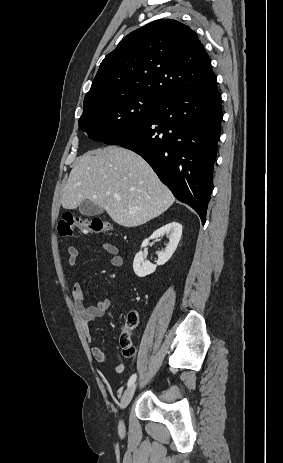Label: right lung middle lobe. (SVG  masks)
Instances as JSON below:
<instances>
[{
    "mask_svg": "<svg viewBox=\"0 0 283 463\" xmlns=\"http://www.w3.org/2000/svg\"><path fill=\"white\" fill-rule=\"evenodd\" d=\"M158 101L135 95H109L83 104L79 127L90 138L107 141L149 118Z\"/></svg>",
    "mask_w": 283,
    "mask_h": 463,
    "instance_id": "dd1d6c3e",
    "label": "right lung middle lobe"
}]
</instances>
